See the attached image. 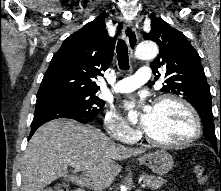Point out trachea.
<instances>
[{
    "label": "trachea",
    "instance_id": "3493384b",
    "mask_svg": "<svg viewBox=\"0 0 221 191\" xmlns=\"http://www.w3.org/2000/svg\"><path fill=\"white\" fill-rule=\"evenodd\" d=\"M117 59L121 70L129 69L128 48L124 40L119 39L117 43Z\"/></svg>",
    "mask_w": 221,
    "mask_h": 191
}]
</instances>
